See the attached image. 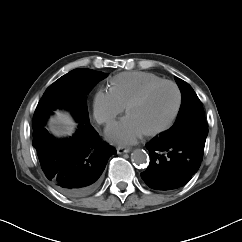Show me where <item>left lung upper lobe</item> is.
<instances>
[{
    "instance_id": "obj_1",
    "label": "left lung upper lobe",
    "mask_w": 242,
    "mask_h": 242,
    "mask_svg": "<svg viewBox=\"0 0 242 242\" xmlns=\"http://www.w3.org/2000/svg\"><path fill=\"white\" fill-rule=\"evenodd\" d=\"M176 82L182 93V103L174 125L163 135L174 139L206 138L208 128L199 98L188 83L180 78H176Z\"/></svg>"
}]
</instances>
